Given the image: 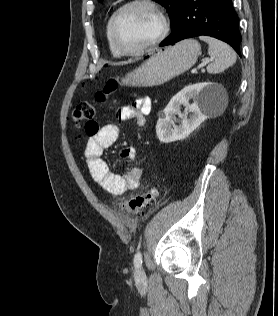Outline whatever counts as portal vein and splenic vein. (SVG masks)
<instances>
[{
  "label": "portal vein and splenic vein",
  "mask_w": 278,
  "mask_h": 316,
  "mask_svg": "<svg viewBox=\"0 0 278 316\" xmlns=\"http://www.w3.org/2000/svg\"><path fill=\"white\" fill-rule=\"evenodd\" d=\"M209 61H210L209 59L206 60V61H204V62L200 65V67L206 65ZM196 72H197V68H193V69L191 70V73H192V74H194V73H196Z\"/></svg>",
  "instance_id": "obj_1"
}]
</instances>
